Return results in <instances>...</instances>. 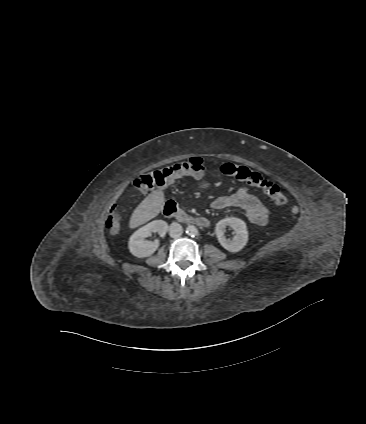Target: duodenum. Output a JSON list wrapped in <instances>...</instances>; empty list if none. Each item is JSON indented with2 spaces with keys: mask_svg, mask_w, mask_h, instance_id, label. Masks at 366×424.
Wrapping results in <instances>:
<instances>
[{
  "mask_svg": "<svg viewBox=\"0 0 366 424\" xmlns=\"http://www.w3.org/2000/svg\"><path fill=\"white\" fill-rule=\"evenodd\" d=\"M163 213L168 218H174L179 222L196 225L202 228L209 226V220L205 217L190 216L181 210L176 203L169 201L164 205Z\"/></svg>",
  "mask_w": 366,
  "mask_h": 424,
  "instance_id": "1",
  "label": "duodenum"
}]
</instances>
